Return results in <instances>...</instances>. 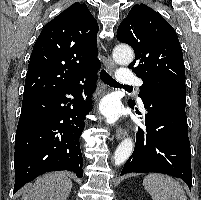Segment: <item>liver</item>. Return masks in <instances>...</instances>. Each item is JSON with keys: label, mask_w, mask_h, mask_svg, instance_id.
Wrapping results in <instances>:
<instances>
[{"label": "liver", "mask_w": 201, "mask_h": 200, "mask_svg": "<svg viewBox=\"0 0 201 200\" xmlns=\"http://www.w3.org/2000/svg\"><path fill=\"white\" fill-rule=\"evenodd\" d=\"M71 188L72 181L64 173H47L23 194L22 200H66Z\"/></svg>", "instance_id": "liver-1"}]
</instances>
